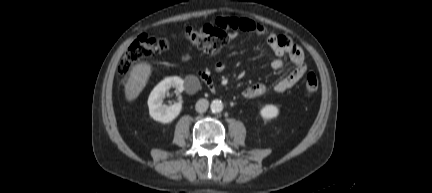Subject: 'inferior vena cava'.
<instances>
[{"label":"inferior vena cava","mask_w":432,"mask_h":193,"mask_svg":"<svg viewBox=\"0 0 432 193\" xmlns=\"http://www.w3.org/2000/svg\"><path fill=\"white\" fill-rule=\"evenodd\" d=\"M209 102L207 99H199L195 105V109L198 113H204L208 109Z\"/></svg>","instance_id":"inferior-vena-cava-1"}]
</instances>
